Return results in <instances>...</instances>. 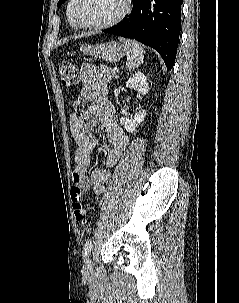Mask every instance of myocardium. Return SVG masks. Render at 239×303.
<instances>
[{"label": "myocardium", "instance_id": "1", "mask_svg": "<svg viewBox=\"0 0 239 303\" xmlns=\"http://www.w3.org/2000/svg\"><path fill=\"white\" fill-rule=\"evenodd\" d=\"M73 1L74 2L72 5V15H73V18H74L76 24L79 27L88 29V30H101V29H106V28L115 26L118 23H120L131 12V9H132V0H123V4H124L123 10L121 11V13L118 16H116L112 20L104 22V23L87 24L82 21V19L79 16V13H78V7H79L81 0H73Z\"/></svg>", "mask_w": 239, "mask_h": 303}]
</instances>
